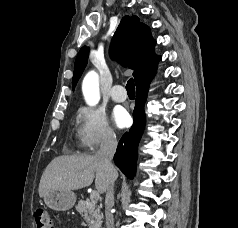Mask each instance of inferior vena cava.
<instances>
[{"label":"inferior vena cava","mask_w":238,"mask_h":228,"mask_svg":"<svg viewBox=\"0 0 238 228\" xmlns=\"http://www.w3.org/2000/svg\"><path fill=\"white\" fill-rule=\"evenodd\" d=\"M117 147L116 136L112 132H107L96 156L101 158L110 171H114V166L111 162ZM114 180H111L106 190L105 197V223L106 228H114V217L111 212L114 206Z\"/></svg>","instance_id":"1"}]
</instances>
